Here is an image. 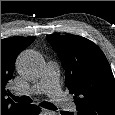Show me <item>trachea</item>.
Returning a JSON list of instances; mask_svg holds the SVG:
<instances>
[{
    "mask_svg": "<svg viewBox=\"0 0 115 115\" xmlns=\"http://www.w3.org/2000/svg\"><path fill=\"white\" fill-rule=\"evenodd\" d=\"M12 98L14 101L19 102V103L29 104L32 102V100L28 96L16 97V96L12 95ZM39 105L41 107L49 109V110H57V107L50 102L43 101Z\"/></svg>",
    "mask_w": 115,
    "mask_h": 115,
    "instance_id": "3493384b",
    "label": "trachea"
}]
</instances>
